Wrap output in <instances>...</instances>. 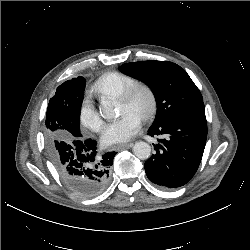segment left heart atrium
I'll use <instances>...</instances> for the list:
<instances>
[{"mask_svg": "<svg viewBox=\"0 0 250 250\" xmlns=\"http://www.w3.org/2000/svg\"><path fill=\"white\" fill-rule=\"evenodd\" d=\"M139 128L140 118L131 112H125L118 119L105 126L101 142L108 146L128 141L138 132Z\"/></svg>", "mask_w": 250, "mask_h": 250, "instance_id": "obj_1", "label": "left heart atrium"}]
</instances>
